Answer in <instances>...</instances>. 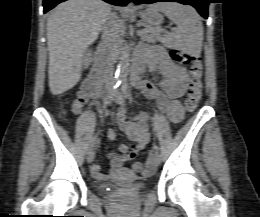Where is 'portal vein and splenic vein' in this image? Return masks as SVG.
Listing matches in <instances>:
<instances>
[{"mask_svg":"<svg viewBox=\"0 0 260 217\" xmlns=\"http://www.w3.org/2000/svg\"><path fill=\"white\" fill-rule=\"evenodd\" d=\"M149 30H147V29H144L142 32H141V34L140 35H143V34H145L146 32H148ZM158 31H161V29H158Z\"/></svg>","mask_w":260,"mask_h":217,"instance_id":"obj_1","label":"portal vein and splenic vein"}]
</instances>
